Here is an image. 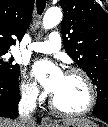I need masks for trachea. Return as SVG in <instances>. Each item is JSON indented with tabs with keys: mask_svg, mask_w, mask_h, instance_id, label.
<instances>
[{
	"mask_svg": "<svg viewBox=\"0 0 108 127\" xmlns=\"http://www.w3.org/2000/svg\"><path fill=\"white\" fill-rule=\"evenodd\" d=\"M45 6H46V0H37V12L39 15L42 14Z\"/></svg>",
	"mask_w": 108,
	"mask_h": 127,
	"instance_id": "obj_1",
	"label": "trachea"
}]
</instances>
